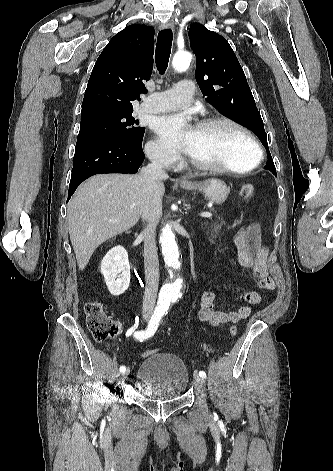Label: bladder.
Wrapping results in <instances>:
<instances>
[{
	"mask_svg": "<svg viewBox=\"0 0 333 471\" xmlns=\"http://www.w3.org/2000/svg\"><path fill=\"white\" fill-rule=\"evenodd\" d=\"M136 379L144 397L154 401H173L188 389L190 375L185 362L176 354L159 352L139 365Z\"/></svg>",
	"mask_w": 333,
	"mask_h": 471,
	"instance_id": "1",
	"label": "bladder"
}]
</instances>
